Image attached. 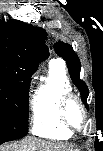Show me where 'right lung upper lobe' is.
Returning a JSON list of instances; mask_svg holds the SVG:
<instances>
[{
  "label": "right lung upper lobe",
  "instance_id": "obj_1",
  "mask_svg": "<svg viewBox=\"0 0 103 151\" xmlns=\"http://www.w3.org/2000/svg\"><path fill=\"white\" fill-rule=\"evenodd\" d=\"M46 32L22 22L0 21V75L31 81L38 64L48 56Z\"/></svg>",
  "mask_w": 103,
  "mask_h": 151
}]
</instances>
